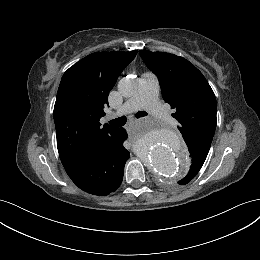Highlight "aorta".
I'll return each instance as SVG.
<instances>
[{
  "mask_svg": "<svg viewBox=\"0 0 260 260\" xmlns=\"http://www.w3.org/2000/svg\"><path fill=\"white\" fill-rule=\"evenodd\" d=\"M118 90L123 96L131 97L138 90V81L125 77L119 81ZM133 135L147 137L143 154L146 164L157 176L177 178L188 170L187 153L179 136L173 130L160 122L143 120Z\"/></svg>",
  "mask_w": 260,
  "mask_h": 260,
  "instance_id": "1",
  "label": "aorta"
}]
</instances>
